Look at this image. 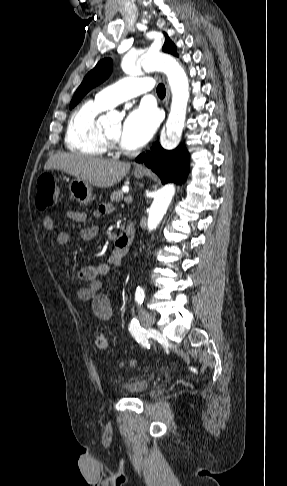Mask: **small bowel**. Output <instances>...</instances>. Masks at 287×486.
<instances>
[{"instance_id":"obj_1","label":"small bowel","mask_w":287,"mask_h":486,"mask_svg":"<svg viewBox=\"0 0 287 486\" xmlns=\"http://www.w3.org/2000/svg\"><path fill=\"white\" fill-rule=\"evenodd\" d=\"M112 210L113 208L110 205H101L97 210L92 212L91 218L99 219L102 215L112 212ZM66 217L74 222H84L88 215L85 211L73 210L67 211ZM43 227L51 232L56 231V225L50 216L43 218ZM98 233L99 228L95 225L81 228L77 232L78 236L84 241L93 240ZM71 237L72 233L70 231L57 232L56 245L58 247H64ZM124 257L125 254L119 255L114 250L105 263L81 267L76 272V278L78 280L88 282L86 287L79 288L76 291L77 298L83 301L91 300L95 316L102 321H107L112 317L113 308L109 297L101 292L103 283L98 277L120 266Z\"/></svg>"}]
</instances>
